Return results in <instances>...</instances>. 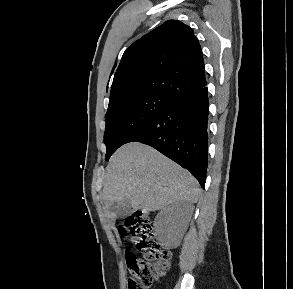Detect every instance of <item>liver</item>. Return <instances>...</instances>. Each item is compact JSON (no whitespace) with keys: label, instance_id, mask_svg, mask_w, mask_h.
Listing matches in <instances>:
<instances>
[{"label":"liver","instance_id":"1","mask_svg":"<svg viewBox=\"0 0 293 289\" xmlns=\"http://www.w3.org/2000/svg\"><path fill=\"white\" fill-rule=\"evenodd\" d=\"M199 195L198 183L187 170L141 143L119 148L104 175L107 209L128 199L134 210L156 211L179 201L195 203Z\"/></svg>","mask_w":293,"mask_h":289}]
</instances>
